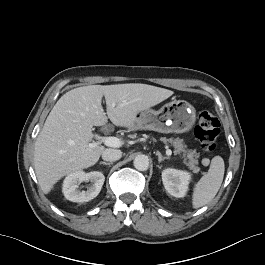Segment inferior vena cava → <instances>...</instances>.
<instances>
[{
  "mask_svg": "<svg viewBox=\"0 0 265 265\" xmlns=\"http://www.w3.org/2000/svg\"><path fill=\"white\" fill-rule=\"evenodd\" d=\"M122 156V152L121 150H117V149H105L102 153V159L105 161H117L121 158Z\"/></svg>",
  "mask_w": 265,
  "mask_h": 265,
  "instance_id": "inferior-vena-cava-1",
  "label": "inferior vena cava"
}]
</instances>
